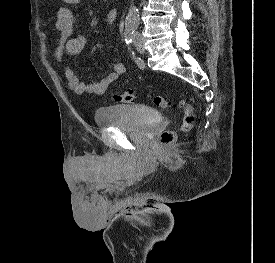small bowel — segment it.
<instances>
[{
    "mask_svg": "<svg viewBox=\"0 0 275 263\" xmlns=\"http://www.w3.org/2000/svg\"><path fill=\"white\" fill-rule=\"evenodd\" d=\"M67 4H78L81 0H64ZM118 13L115 9L109 10L104 23L113 24L117 20ZM75 18L71 10L67 7L59 9L55 27L60 33L59 43L55 49L54 55L58 63L64 65L65 79L69 88L79 95H102L107 92L109 87L126 71L125 64L117 61L112 65V70L105 77L92 82L82 81L77 73L65 63L64 54L77 55L81 53L86 46V39L82 35L73 36Z\"/></svg>",
    "mask_w": 275,
    "mask_h": 263,
    "instance_id": "small-bowel-1",
    "label": "small bowel"
}]
</instances>
